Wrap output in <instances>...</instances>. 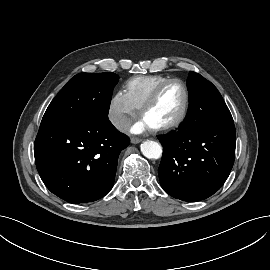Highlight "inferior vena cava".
<instances>
[{"label": "inferior vena cava", "instance_id": "obj_1", "mask_svg": "<svg viewBox=\"0 0 270 270\" xmlns=\"http://www.w3.org/2000/svg\"><path fill=\"white\" fill-rule=\"evenodd\" d=\"M114 126L121 131L127 130L130 126V120L126 115H118L113 119Z\"/></svg>", "mask_w": 270, "mask_h": 270}]
</instances>
